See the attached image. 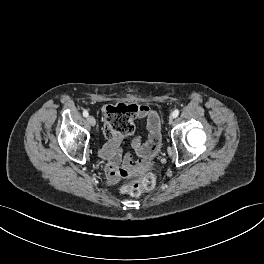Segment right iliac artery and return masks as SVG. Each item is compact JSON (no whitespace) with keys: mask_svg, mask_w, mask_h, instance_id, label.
<instances>
[{"mask_svg":"<svg viewBox=\"0 0 264 264\" xmlns=\"http://www.w3.org/2000/svg\"><path fill=\"white\" fill-rule=\"evenodd\" d=\"M88 115H89L88 111H87V110H84V111H83V116H84V117H88Z\"/></svg>","mask_w":264,"mask_h":264,"instance_id":"obj_1","label":"right iliac artery"}]
</instances>
